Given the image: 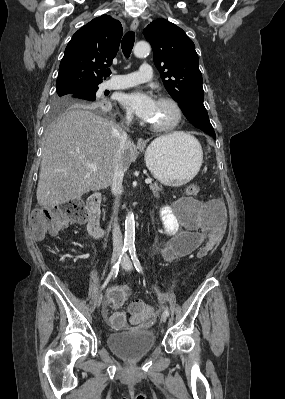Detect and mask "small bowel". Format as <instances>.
<instances>
[{"instance_id": "small-bowel-1", "label": "small bowel", "mask_w": 285, "mask_h": 399, "mask_svg": "<svg viewBox=\"0 0 285 399\" xmlns=\"http://www.w3.org/2000/svg\"><path fill=\"white\" fill-rule=\"evenodd\" d=\"M160 215L165 233L171 236V241L162 252V258L166 263L190 254L207 237H222L225 231L224 211L218 199L211 200L203 206L193 203L184 210V221L167 211H162ZM198 254L202 256L200 251ZM127 298V288L121 285L112 287L106 296L102 316L114 329H127L126 313L123 310ZM136 323H141V319Z\"/></svg>"}]
</instances>
